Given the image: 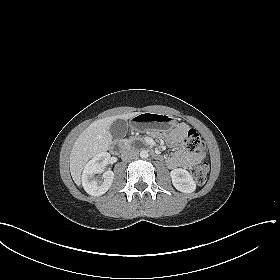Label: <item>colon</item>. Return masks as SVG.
I'll return each instance as SVG.
<instances>
[{
    "label": "colon",
    "mask_w": 280,
    "mask_h": 280,
    "mask_svg": "<svg viewBox=\"0 0 280 280\" xmlns=\"http://www.w3.org/2000/svg\"><path fill=\"white\" fill-rule=\"evenodd\" d=\"M185 144L191 152H202L205 150V144L201 136L195 129H189L185 136ZM209 165L202 162L194 166L191 173L198 184H203L207 180Z\"/></svg>",
    "instance_id": "5ec220e1"
}]
</instances>
